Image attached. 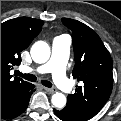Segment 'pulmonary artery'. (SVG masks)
Masks as SVG:
<instances>
[{
  "label": "pulmonary artery",
  "mask_w": 121,
  "mask_h": 121,
  "mask_svg": "<svg viewBox=\"0 0 121 121\" xmlns=\"http://www.w3.org/2000/svg\"><path fill=\"white\" fill-rule=\"evenodd\" d=\"M71 40L66 35H61L53 40L52 56L50 60L43 65L35 68L22 67L21 70L26 73L45 74L51 73L53 80L65 92L71 91V84L66 76V65L69 57Z\"/></svg>",
  "instance_id": "e3ab8cb5"
}]
</instances>
